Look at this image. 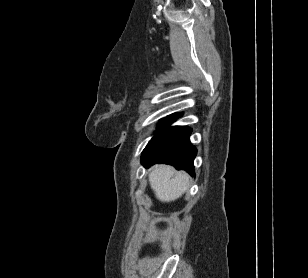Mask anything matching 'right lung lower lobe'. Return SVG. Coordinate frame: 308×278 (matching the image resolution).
Returning <instances> with one entry per match:
<instances>
[{
  "mask_svg": "<svg viewBox=\"0 0 308 278\" xmlns=\"http://www.w3.org/2000/svg\"><path fill=\"white\" fill-rule=\"evenodd\" d=\"M191 128L174 126L154 136L142 152L141 163L150 167L156 163L174 165L194 176L193 160L197 150L190 143Z\"/></svg>",
  "mask_w": 308,
  "mask_h": 278,
  "instance_id": "98d812e1",
  "label": "right lung lower lobe"
}]
</instances>
